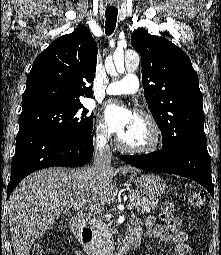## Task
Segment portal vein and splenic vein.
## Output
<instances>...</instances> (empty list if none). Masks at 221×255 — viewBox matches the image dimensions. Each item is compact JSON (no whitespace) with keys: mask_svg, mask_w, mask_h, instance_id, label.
<instances>
[{"mask_svg":"<svg viewBox=\"0 0 221 255\" xmlns=\"http://www.w3.org/2000/svg\"><path fill=\"white\" fill-rule=\"evenodd\" d=\"M77 209L78 208H90V209H95V206L93 204L87 203L85 201L81 202L80 204L74 205ZM134 208V204L133 203H129L127 205V209L131 210Z\"/></svg>","mask_w":221,"mask_h":255,"instance_id":"obj_1","label":"portal vein and splenic vein"}]
</instances>
